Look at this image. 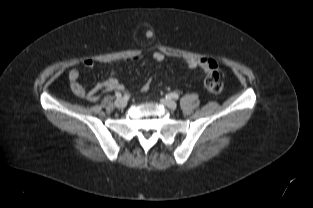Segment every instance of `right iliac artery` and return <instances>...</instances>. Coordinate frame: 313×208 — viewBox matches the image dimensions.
Wrapping results in <instances>:
<instances>
[{"instance_id": "1", "label": "right iliac artery", "mask_w": 313, "mask_h": 208, "mask_svg": "<svg viewBox=\"0 0 313 208\" xmlns=\"http://www.w3.org/2000/svg\"><path fill=\"white\" fill-rule=\"evenodd\" d=\"M115 97L116 98H121L122 97V93L121 92H116L115 93Z\"/></svg>"}]
</instances>
